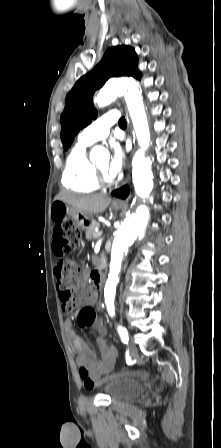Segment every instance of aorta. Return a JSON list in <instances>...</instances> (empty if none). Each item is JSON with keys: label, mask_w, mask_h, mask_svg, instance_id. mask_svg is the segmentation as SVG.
<instances>
[{"label": "aorta", "mask_w": 221, "mask_h": 448, "mask_svg": "<svg viewBox=\"0 0 221 448\" xmlns=\"http://www.w3.org/2000/svg\"><path fill=\"white\" fill-rule=\"evenodd\" d=\"M124 95L140 149L132 160V180L139 197H149L153 189L151 161L145 158V150L150 144V131L138 84L132 79H118L107 83L98 93L94 102L99 107L109 105L118 96ZM106 154L104 148L95 146L90 153V160L95 161L99 155ZM149 220V210L145 205L137 207L115 233L111 247L108 281L118 279L122 262L135 238L141 234Z\"/></svg>", "instance_id": "762f6f07"}]
</instances>
